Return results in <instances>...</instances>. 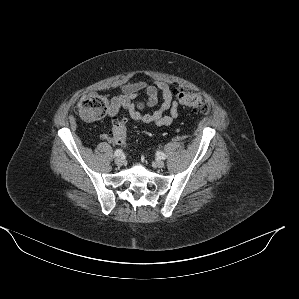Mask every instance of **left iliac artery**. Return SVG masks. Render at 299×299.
I'll list each match as a JSON object with an SVG mask.
<instances>
[{"label":"left iliac artery","mask_w":299,"mask_h":299,"mask_svg":"<svg viewBox=\"0 0 299 299\" xmlns=\"http://www.w3.org/2000/svg\"><path fill=\"white\" fill-rule=\"evenodd\" d=\"M156 154H157L158 158L163 159V160L166 159V155L163 152L158 151Z\"/></svg>","instance_id":"1"}]
</instances>
